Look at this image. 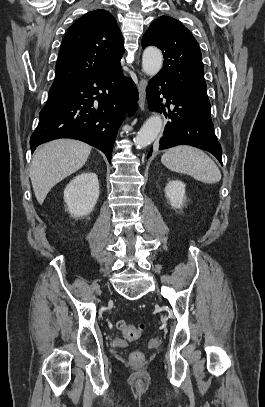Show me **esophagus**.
Instances as JSON below:
<instances>
[{
	"label": "esophagus",
	"mask_w": 265,
	"mask_h": 407,
	"mask_svg": "<svg viewBox=\"0 0 265 407\" xmlns=\"http://www.w3.org/2000/svg\"><path fill=\"white\" fill-rule=\"evenodd\" d=\"M146 87H147V80L145 78H141L138 84V91H139V107L141 110L145 107L146 101Z\"/></svg>",
	"instance_id": "obj_1"
}]
</instances>
